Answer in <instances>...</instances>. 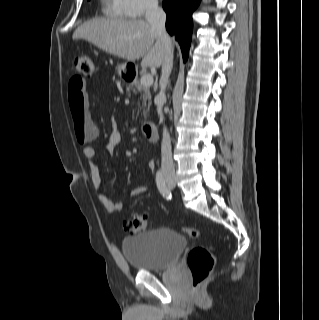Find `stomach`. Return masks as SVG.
<instances>
[{"instance_id": "stomach-1", "label": "stomach", "mask_w": 319, "mask_h": 320, "mask_svg": "<svg viewBox=\"0 0 319 320\" xmlns=\"http://www.w3.org/2000/svg\"><path fill=\"white\" fill-rule=\"evenodd\" d=\"M128 70H129L128 63H121V64H118L116 67V71L120 77L127 75Z\"/></svg>"}]
</instances>
